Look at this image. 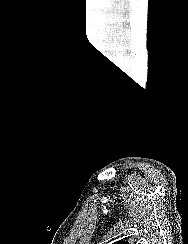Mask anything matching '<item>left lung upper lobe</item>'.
I'll use <instances>...</instances> for the list:
<instances>
[{"label":"left lung upper lobe","instance_id":"obj_1","mask_svg":"<svg viewBox=\"0 0 188 244\" xmlns=\"http://www.w3.org/2000/svg\"><path fill=\"white\" fill-rule=\"evenodd\" d=\"M113 244H128V242H125V241H117V242H114Z\"/></svg>","mask_w":188,"mask_h":244}]
</instances>
